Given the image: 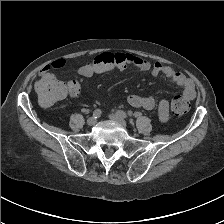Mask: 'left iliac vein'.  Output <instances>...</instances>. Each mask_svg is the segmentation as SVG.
I'll return each instance as SVG.
<instances>
[{
  "instance_id": "4c4485c4",
  "label": "left iliac vein",
  "mask_w": 224,
  "mask_h": 224,
  "mask_svg": "<svg viewBox=\"0 0 224 224\" xmlns=\"http://www.w3.org/2000/svg\"><path fill=\"white\" fill-rule=\"evenodd\" d=\"M109 118H110L112 121L118 123L119 125H121V126H123V127H126V126H127V122H126L122 117H120V116L117 115V114H111V115H109Z\"/></svg>"
}]
</instances>
